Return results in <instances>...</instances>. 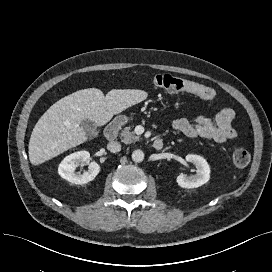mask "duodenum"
Here are the masks:
<instances>
[{
    "mask_svg": "<svg viewBox=\"0 0 272 272\" xmlns=\"http://www.w3.org/2000/svg\"><path fill=\"white\" fill-rule=\"evenodd\" d=\"M122 124L121 119L113 120L108 124V126L105 129V137L108 141H114L117 138L119 128ZM163 140L161 138H156L153 141V148L155 150H161L163 148Z\"/></svg>",
    "mask_w": 272,
    "mask_h": 272,
    "instance_id": "duodenum-1",
    "label": "duodenum"
}]
</instances>
